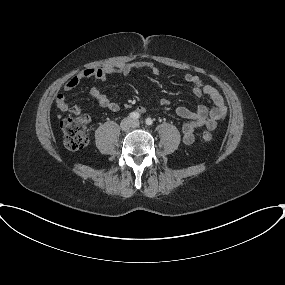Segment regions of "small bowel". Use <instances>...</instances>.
<instances>
[{
  "instance_id": "1",
  "label": "small bowel",
  "mask_w": 285,
  "mask_h": 285,
  "mask_svg": "<svg viewBox=\"0 0 285 285\" xmlns=\"http://www.w3.org/2000/svg\"><path fill=\"white\" fill-rule=\"evenodd\" d=\"M146 69L153 75H159L160 70L157 65L151 61L139 60L134 62H128L120 64L114 67H99V68H88L77 75L70 78L64 85V91L69 92L75 89L83 79L95 78L101 82L106 80L109 73H120L123 75H129L135 70ZM184 80L192 85V92L195 96L200 97L206 95L210 98L213 103L212 108H208L205 105H199L196 109H190L186 106H180L177 108V114L187 119L182 126V141L185 145H191L195 140V130L200 127H207L208 129H215L217 122L224 119L227 114V107L222 95L212 85L206 83L199 76L194 74H186ZM90 95L93 96L98 103L107 108L110 111L116 112L119 110V104L105 95L98 86H92L89 91ZM57 107L63 111H69L74 114L81 113V107L78 104L69 105L66 101V97L63 93H59L56 97ZM161 106L168 104L167 99L160 101ZM139 112H145L146 108L140 106L137 109ZM88 120V117L85 116Z\"/></svg>"
}]
</instances>
